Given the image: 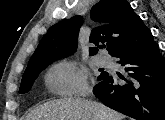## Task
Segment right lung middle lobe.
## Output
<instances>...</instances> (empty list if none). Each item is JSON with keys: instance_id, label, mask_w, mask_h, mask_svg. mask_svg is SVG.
<instances>
[{"instance_id": "obj_1", "label": "right lung middle lobe", "mask_w": 165, "mask_h": 120, "mask_svg": "<svg viewBox=\"0 0 165 120\" xmlns=\"http://www.w3.org/2000/svg\"><path fill=\"white\" fill-rule=\"evenodd\" d=\"M54 60L57 59L41 60L36 63L28 65L22 77L19 93L23 94L30 91L32 84L39 75V73L49 64H51ZM107 74H108L107 72H102L98 77V79L102 80L107 76Z\"/></svg>"}]
</instances>
